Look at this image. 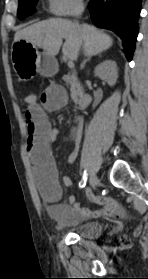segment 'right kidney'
Wrapping results in <instances>:
<instances>
[{
  "label": "right kidney",
  "mask_w": 148,
  "mask_h": 279,
  "mask_svg": "<svg viewBox=\"0 0 148 279\" xmlns=\"http://www.w3.org/2000/svg\"><path fill=\"white\" fill-rule=\"evenodd\" d=\"M94 73L101 80L106 81L110 86H114L118 78L117 64L113 60H105L96 66Z\"/></svg>",
  "instance_id": "right-kidney-1"
}]
</instances>
